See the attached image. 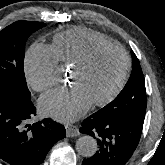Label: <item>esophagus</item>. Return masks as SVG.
<instances>
[{"label":"esophagus","instance_id":"1","mask_svg":"<svg viewBox=\"0 0 165 165\" xmlns=\"http://www.w3.org/2000/svg\"><path fill=\"white\" fill-rule=\"evenodd\" d=\"M67 137H75L79 135L78 127L72 124L65 125Z\"/></svg>","mask_w":165,"mask_h":165}]
</instances>
